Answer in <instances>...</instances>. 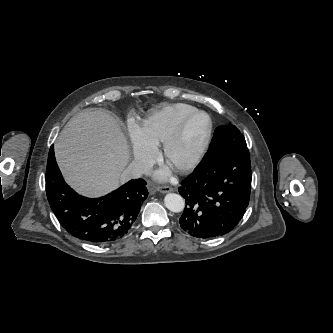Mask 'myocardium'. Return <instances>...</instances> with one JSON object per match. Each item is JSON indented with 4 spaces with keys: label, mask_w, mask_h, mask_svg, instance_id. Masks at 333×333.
<instances>
[{
    "label": "myocardium",
    "mask_w": 333,
    "mask_h": 333,
    "mask_svg": "<svg viewBox=\"0 0 333 333\" xmlns=\"http://www.w3.org/2000/svg\"><path fill=\"white\" fill-rule=\"evenodd\" d=\"M200 115L204 116L207 120V126L200 142L198 143L196 149L194 150V152L192 153V155L189 157L188 160H186L181 164L174 163L173 160L174 152L181 144L188 124L193 118ZM212 132H213V120L207 112L197 109L190 112L181 119L175 130L172 132V134L164 143L163 156L165 161L170 165V167L173 168V170H175L178 173H186L193 170L202 160L209 146Z\"/></svg>",
    "instance_id": "f54148a6"
}]
</instances>
